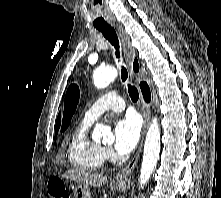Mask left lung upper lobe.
Wrapping results in <instances>:
<instances>
[{
	"label": "left lung upper lobe",
	"instance_id": "obj_1",
	"mask_svg": "<svg viewBox=\"0 0 221 198\" xmlns=\"http://www.w3.org/2000/svg\"><path fill=\"white\" fill-rule=\"evenodd\" d=\"M79 101V89L77 85H71L65 96L63 124L61 131L65 130L71 122V118L76 110Z\"/></svg>",
	"mask_w": 221,
	"mask_h": 198
}]
</instances>
